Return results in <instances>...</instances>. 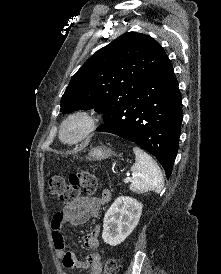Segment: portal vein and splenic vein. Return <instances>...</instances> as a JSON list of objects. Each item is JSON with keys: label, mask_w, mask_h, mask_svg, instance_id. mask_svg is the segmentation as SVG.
Segmentation results:
<instances>
[{"label": "portal vein and splenic vein", "mask_w": 221, "mask_h": 274, "mask_svg": "<svg viewBox=\"0 0 221 274\" xmlns=\"http://www.w3.org/2000/svg\"><path fill=\"white\" fill-rule=\"evenodd\" d=\"M130 180H131V177H130V176H127V177L124 179V182H125V183H128Z\"/></svg>", "instance_id": "1"}]
</instances>
